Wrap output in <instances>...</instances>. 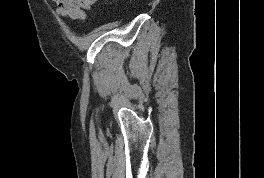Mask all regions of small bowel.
Returning a JSON list of instances; mask_svg holds the SVG:
<instances>
[{
	"label": "small bowel",
	"instance_id": "c3829d8e",
	"mask_svg": "<svg viewBox=\"0 0 264 178\" xmlns=\"http://www.w3.org/2000/svg\"><path fill=\"white\" fill-rule=\"evenodd\" d=\"M56 4L58 14L73 20H84L96 0H52Z\"/></svg>",
	"mask_w": 264,
	"mask_h": 178
}]
</instances>
